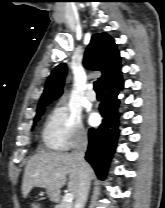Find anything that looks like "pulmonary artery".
Segmentation results:
<instances>
[{
    "instance_id": "obj_1",
    "label": "pulmonary artery",
    "mask_w": 165,
    "mask_h": 208,
    "mask_svg": "<svg viewBox=\"0 0 165 208\" xmlns=\"http://www.w3.org/2000/svg\"><path fill=\"white\" fill-rule=\"evenodd\" d=\"M86 98H87L88 101L93 102V101L96 100V95L92 91H88L86 93Z\"/></svg>"
}]
</instances>
